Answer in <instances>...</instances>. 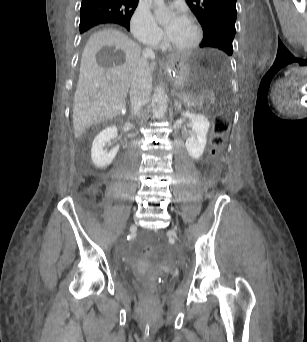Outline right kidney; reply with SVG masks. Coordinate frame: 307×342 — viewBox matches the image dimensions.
I'll use <instances>...</instances> for the list:
<instances>
[{
    "label": "right kidney",
    "instance_id": "obj_1",
    "mask_svg": "<svg viewBox=\"0 0 307 342\" xmlns=\"http://www.w3.org/2000/svg\"><path fill=\"white\" fill-rule=\"evenodd\" d=\"M117 136L118 132L116 126H111V128H105V130L99 132L96 138H94L91 148V160L95 168L104 170V168H107V166H110L111 162H113L115 156H117L119 146H115L110 152H106L103 148L105 142H110L111 138H117Z\"/></svg>",
    "mask_w": 307,
    "mask_h": 342
}]
</instances>
